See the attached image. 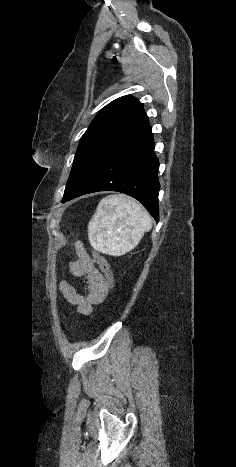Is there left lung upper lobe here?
<instances>
[{"label": "left lung upper lobe", "instance_id": "obj_1", "mask_svg": "<svg viewBox=\"0 0 236 467\" xmlns=\"http://www.w3.org/2000/svg\"><path fill=\"white\" fill-rule=\"evenodd\" d=\"M144 117L142 104L131 96L112 101L96 115L81 137L63 200L78 191L110 146Z\"/></svg>", "mask_w": 236, "mask_h": 467}]
</instances>
